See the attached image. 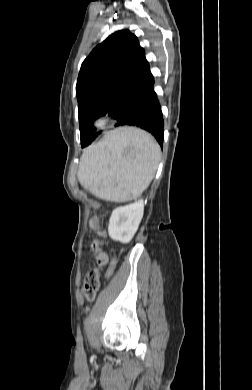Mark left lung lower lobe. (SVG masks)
<instances>
[{
    "label": "left lung lower lobe",
    "mask_w": 252,
    "mask_h": 390,
    "mask_svg": "<svg viewBox=\"0 0 252 390\" xmlns=\"http://www.w3.org/2000/svg\"><path fill=\"white\" fill-rule=\"evenodd\" d=\"M115 126H136L150 132L163 146L164 121L161 105L154 91V78L151 75L147 82L136 91L121 107L114 117ZM92 123L85 126L81 135V145L86 147L97 137Z\"/></svg>",
    "instance_id": "left-lung-lower-lobe-1"
}]
</instances>
